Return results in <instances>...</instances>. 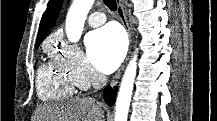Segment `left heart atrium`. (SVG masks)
Returning <instances> with one entry per match:
<instances>
[{
  "mask_svg": "<svg viewBox=\"0 0 217 121\" xmlns=\"http://www.w3.org/2000/svg\"><path fill=\"white\" fill-rule=\"evenodd\" d=\"M85 43L90 62L103 74L116 69L126 50L124 34L118 26L113 24L89 33Z\"/></svg>",
  "mask_w": 217,
  "mask_h": 121,
  "instance_id": "left-heart-atrium-1",
  "label": "left heart atrium"
}]
</instances>
